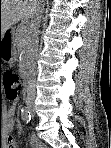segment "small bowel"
Listing matches in <instances>:
<instances>
[{"label":"small bowel","instance_id":"obj_1","mask_svg":"<svg viewBox=\"0 0 111 148\" xmlns=\"http://www.w3.org/2000/svg\"><path fill=\"white\" fill-rule=\"evenodd\" d=\"M16 113V105L12 104L9 109H8V114L9 116H14ZM14 128V122L10 121L9 124L7 125V130H8V138H7V145L6 148H12V147H17L15 141L13 138L10 136L12 130ZM30 144L34 148H41L43 145L36 139V137L31 136L30 137Z\"/></svg>","mask_w":111,"mask_h":148}]
</instances>
